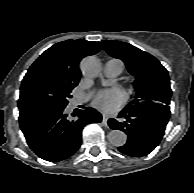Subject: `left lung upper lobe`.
<instances>
[{"instance_id":"left-lung-upper-lobe-1","label":"left lung upper lobe","mask_w":194,"mask_h":193,"mask_svg":"<svg viewBox=\"0 0 194 193\" xmlns=\"http://www.w3.org/2000/svg\"><path fill=\"white\" fill-rule=\"evenodd\" d=\"M104 49L112 57L121 59L128 71L136 77L134 99L126 110L169 105L171 88L167 70L152 55L120 41H103Z\"/></svg>"}]
</instances>
